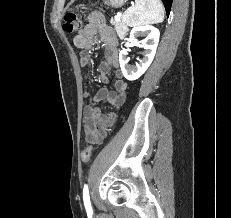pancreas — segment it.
I'll return each instance as SVG.
<instances>
[{
  "label": "pancreas",
  "instance_id": "obj_1",
  "mask_svg": "<svg viewBox=\"0 0 231 218\" xmlns=\"http://www.w3.org/2000/svg\"><path fill=\"white\" fill-rule=\"evenodd\" d=\"M111 24L115 27V30L120 38H123L128 32V27L122 19L111 20Z\"/></svg>",
  "mask_w": 231,
  "mask_h": 218
}]
</instances>
